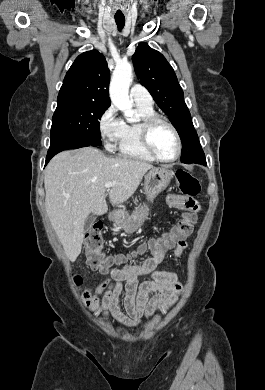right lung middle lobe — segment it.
<instances>
[{"label":"right lung middle lobe","instance_id":"dd1d6c3e","mask_svg":"<svg viewBox=\"0 0 265 390\" xmlns=\"http://www.w3.org/2000/svg\"><path fill=\"white\" fill-rule=\"evenodd\" d=\"M52 118L51 141L70 140L100 146L99 120L109 106L87 101H61Z\"/></svg>","mask_w":265,"mask_h":390}]
</instances>
